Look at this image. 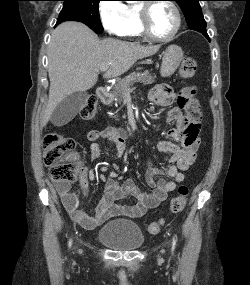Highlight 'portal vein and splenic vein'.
Returning <instances> with one entry per match:
<instances>
[{"instance_id":"1","label":"portal vein and splenic vein","mask_w":250,"mask_h":285,"mask_svg":"<svg viewBox=\"0 0 250 285\" xmlns=\"http://www.w3.org/2000/svg\"><path fill=\"white\" fill-rule=\"evenodd\" d=\"M109 65H110V64H107V65L103 66V67L100 69V71H101V72L107 71V69L109 68Z\"/></svg>"}]
</instances>
